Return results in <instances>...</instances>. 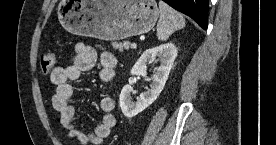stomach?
Wrapping results in <instances>:
<instances>
[{
    "label": "stomach",
    "instance_id": "1",
    "mask_svg": "<svg viewBox=\"0 0 276 145\" xmlns=\"http://www.w3.org/2000/svg\"><path fill=\"white\" fill-rule=\"evenodd\" d=\"M57 14L70 33L111 41L147 33L159 9L155 0H62Z\"/></svg>",
    "mask_w": 276,
    "mask_h": 145
}]
</instances>
